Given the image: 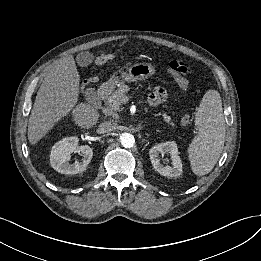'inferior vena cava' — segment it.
<instances>
[{"instance_id":"602c4592","label":"inferior vena cava","mask_w":261,"mask_h":261,"mask_svg":"<svg viewBox=\"0 0 261 261\" xmlns=\"http://www.w3.org/2000/svg\"><path fill=\"white\" fill-rule=\"evenodd\" d=\"M114 129V126L111 124V122H102L99 126V132L100 133H106L110 132Z\"/></svg>"}]
</instances>
